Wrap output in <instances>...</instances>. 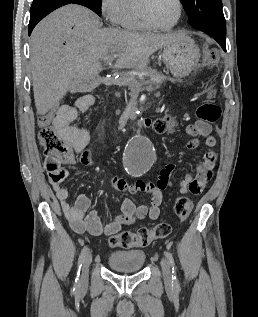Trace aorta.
<instances>
[{
	"label": "aorta",
	"mask_w": 258,
	"mask_h": 317,
	"mask_svg": "<svg viewBox=\"0 0 258 317\" xmlns=\"http://www.w3.org/2000/svg\"><path fill=\"white\" fill-rule=\"evenodd\" d=\"M154 157L152 142L145 136L135 135L125 149L124 167L130 175L141 176L151 168Z\"/></svg>",
	"instance_id": "1"
}]
</instances>
